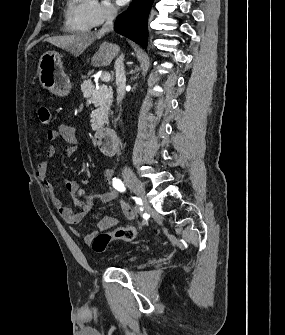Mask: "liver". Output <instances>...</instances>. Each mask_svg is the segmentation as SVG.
<instances>
[{"label":"liver","instance_id":"liver-1","mask_svg":"<svg viewBox=\"0 0 285 335\" xmlns=\"http://www.w3.org/2000/svg\"><path fill=\"white\" fill-rule=\"evenodd\" d=\"M102 38L101 34H73V36H56V38H48L46 42L57 46V48H62V50H67L73 56H80L92 42L95 40H100ZM117 48L113 44H108V42H103L99 46L98 52L94 54L91 64L92 66H110L113 58H115Z\"/></svg>","mask_w":285,"mask_h":335}]
</instances>
